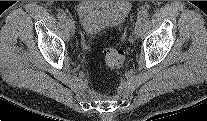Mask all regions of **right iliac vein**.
I'll return each mask as SVG.
<instances>
[{
  "label": "right iliac vein",
  "instance_id": "1",
  "mask_svg": "<svg viewBox=\"0 0 207 121\" xmlns=\"http://www.w3.org/2000/svg\"><path fill=\"white\" fill-rule=\"evenodd\" d=\"M65 22H66V25H67L70 33L74 34L75 33V23H74V21L72 19H70V18H67L65 20Z\"/></svg>",
  "mask_w": 207,
  "mask_h": 121
}]
</instances>
